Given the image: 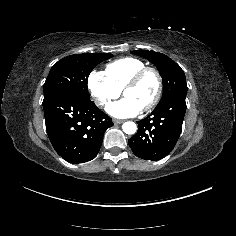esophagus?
<instances>
[{
    "label": "esophagus",
    "instance_id": "1",
    "mask_svg": "<svg viewBox=\"0 0 236 236\" xmlns=\"http://www.w3.org/2000/svg\"><path fill=\"white\" fill-rule=\"evenodd\" d=\"M113 123H114V124H121V123H123V120L114 119V120H113Z\"/></svg>",
    "mask_w": 236,
    "mask_h": 236
}]
</instances>
